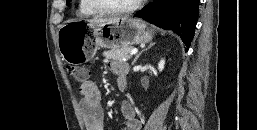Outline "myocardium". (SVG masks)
<instances>
[{
    "label": "myocardium",
    "instance_id": "myocardium-1",
    "mask_svg": "<svg viewBox=\"0 0 257 130\" xmlns=\"http://www.w3.org/2000/svg\"><path fill=\"white\" fill-rule=\"evenodd\" d=\"M145 0H136L132 5L124 8H109L104 7L97 3L96 0H86V3L90 9L99 14H111V15H120L128 14L136 11Z\"/></svg>",
    "mask_w": 257,
    "mask_h": 130
}]
</instances>
